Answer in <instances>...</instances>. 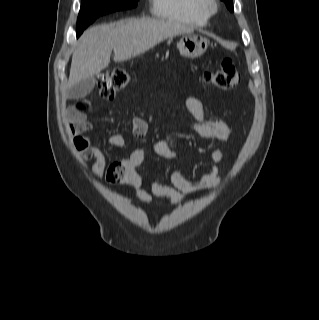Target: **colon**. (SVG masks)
<instances>
[{"label": "colon", "instance_id": "obj_1", "mask_svg": "<svg viewBox=\"0 0 319 320\" xmlns=\"http://www.w3.org/2000/svg\"><path fill=\"white\" fill-rule=\"evenodd\" d=\"M131 81V75L125 68H114L106 73L99 84L100 96L105 100L113 99L116 94L125 89ZM204 81L216 88L229 90L236 87L240 82V75L235 67L232 58H224L217 70L207 71L204 74ZM121 168L119 162L110 167L109 178L117 181L118 177L112 176L113 172Z\"/></svg>", "mask_w": 319, "mask_h": 320}]
</instances>
